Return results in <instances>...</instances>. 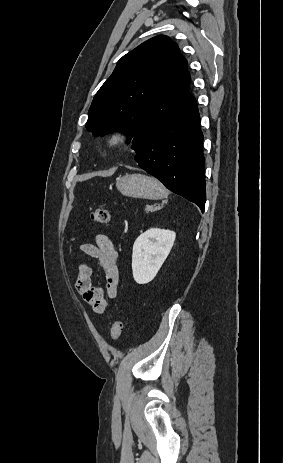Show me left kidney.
I'll return each instance as SVG.
<instances>
[{
  "instance_id": "5707ae66",
  "label": "left kidney",
  "mask_w": 283,
  "mask_h": 463,
  "mask_svg": "<svg viewBox=\"0 0 283 463\" xmlns=\"http://www.w3.org/2000/svg\"><path fill=\"white\" fill-rule=\"evenodd\" d=\"M175 238L174 231L151 228L136 239L132 253V271L136 283L147 284L154 279L168 257Z\"/></svg>"
}]
</instances>
